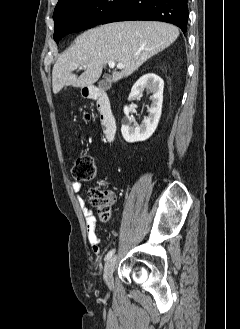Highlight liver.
<instances>
[{"label": "liver", "instance_id": "obj_1", "mask_svg": "<svg viewBox=\"0 0 240 329\" xmlns=\"http://www.w3.org/2000/svg\"><path fill=\"white\" fill-rule=\"evenodd\" d=\"M178 36L177 27L154 21L116 22L90 29L79 35L54 64L53 93L67 85L91 86L110 61L124 65L120 72H113V82L128 77ZM82 65L86 66L84 72L80 76L73 74Z\"/></svg>", "mask_w": 240, "mask_h": 329}]
</instances>
